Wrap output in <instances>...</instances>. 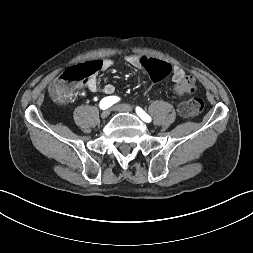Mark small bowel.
<instances>
[{
    "label": "small bowel",
    "mask_w": 253,
    "mask_h": 253,
    "mask_svg": "<svg viewBox=\"0 0 253 253\" xmlns=\"http://www.w3.org/2000/svg\"><path fill=\"white\" fill-rule=\"evenodd\" d=\"M138 56H144V55H137V54L127 55L125 57V61L128 64H130L131 66L135 67V68L143 69L142 68V63L137 62V57ZM145 57H146V59L148 58L147 56H145ZM97 62L99 64V70L100 71H106V70L110 69L114 64L113 60L109 59V58L99 60ZM146 70H148V69H146ZM171 71H172V79L175 82L185 74L184 70L179 66L171 67ZM83 86L86 87L91 92H96L97 89H98V81H97L96 76L92 75L91 77H89V79L83 85H81L80 87H83ZM103 91L107 95H112L115 92V87L112 84H106L103 88Z\"/></svg>",
    "instance_id": "obj_1"
}]
</instances>
